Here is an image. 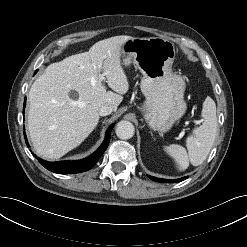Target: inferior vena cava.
<instances>
[{
  "mask_svg": "<svg viewBox=\"0 0 247 247\" xmlns=\"http://www.w3.org/2000/svg\"><path fill=\"white\" fill-rule=\"evenodd\" d=\"M114 111V108L112 105L109 104H105L102 105L99 109V115L100 116H107L109 114H111Z\"/></svg>",
  "mask_w": 247,
  "mask_h": 247,
  "instance_id": "inferior-vena-cava-1",
  "label": "inferior vena cava"
}]
</instances>
